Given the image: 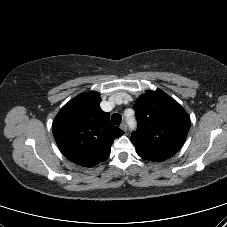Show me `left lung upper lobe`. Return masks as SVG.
Here are the masks:
<instances>
[{"mask_svg":"<svg viewBox=\"0 0 227 227\" xmlns=\"http://www.w3.org/2000/svg\"><path fill=\"white\" fill-rule=\"evenodd\" d=\"M138 129L131 140L137 154L149 161H164L183 145L190 118L182 106L160 90L147 91L133 106Z\"/></svg>","mask_w":227,"mask_h":227,"instance_id":"5c2ea615","label":"left lung upper lobe"}]
</instances>
